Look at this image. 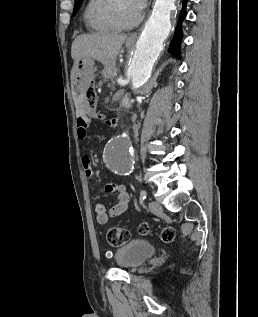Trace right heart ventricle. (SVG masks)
<instances>
[{"label": "right heart ventricle", "mask_w": 258, "mask_h": 317, "mask_svg": "<svg viewBox=\"0 0 258 317\" xmlns=\"http://www.w3.org/2000/svg\"><path fill=\"white\" fill-rule=\"evenodd\" d=\"M110 1L111 0H87L83 17L89 31L105 34L114 30L102 17V10Z\"/></svg>", "instance_id": "right-heart-ventricle-1"}]
</instances>
